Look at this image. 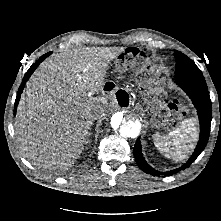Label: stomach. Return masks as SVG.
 <instances>
[{
	"mask_svg": "<svg viewBox=\"0 0 221 221\" xmlns=\"http://www.w3.org/2000/svg\"><path fill=\"white\" fill-rule=\"evenodd\" d=\"M164 80L160 76V69L153 66L150 71L149 79L143 81L140 86L147 104V110L152 114V123L155 127L166 126L171 121V113L167 110L166 92L163 89ZM175 115L181 116L177 111ZM173 115V114H172Z\"/></svg>",
	"mask_w": 221,
	"mask_h": 221,
	"instance_id": "0dacf381",
	"label": "stomach"
}]
</instances>
